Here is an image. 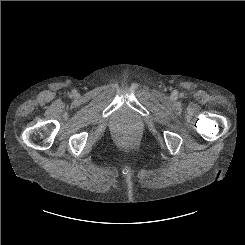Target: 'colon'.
I'll use <instances>...</instances> for the list:
<instances>
[{
  "mask_svg": "<svg viewBox=\"0 0 245 245\" xmlns=\"http://www.w3.org/2000/svg\"><path fill=\"white\" fill-rule=\"evenodd\" d=\"M127 135L125 133H122L121 138L125 139Z\"/></svg>",
  "mask_w": 245,
  "mask_h": 245,
  "instance_id": "colon-1",
  "label": "colon"
}]
</instances>
